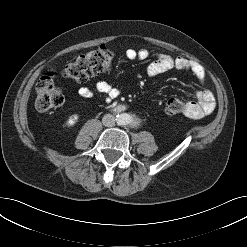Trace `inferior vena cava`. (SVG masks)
<instances>
[{
  "label": "inferior vena cava",
  "instance_id": "602c4592",
  "mask_svg": "<svg viewBox=\"0 0 247 247\" xmlns=\"http://www.w3.org/2000/svg\"><path fill=\"white\" fill-rule=\"evenodd\" d=\"M116 118L111 114H105L102 118V123L106 127H112L115 125Z\"/></svg>",
  "mask_w": 247,
  "mask_h": 247
}]
</instances>
